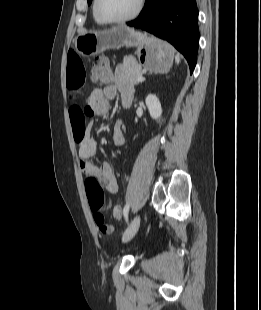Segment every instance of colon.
<instances>
[{
  "instance_id": "colon-1",
  "label": "colon",
  "mask_w": 261,
  "mask_h": 310,
  "mask_svg": "<svg viewBox=\"0 0 261 310\" xmlns=\"http://www.w3.org/2000/svg\"><path fill=\"white\" fill-rule=\"evenodd\" d=\"M112 71L108 60L105 57H97L93 62V70L90 79L94 84L101 85L110 81ZM87 195L91 209L94 211L93 217L96 225L102 234H110L113 227L106 222L100 210L106 206V200L103 190L95 178H88L86 181ZM113 216L120 219L122 209L120 205H115L112 208Z\"/></svg>"
}]
</instances>
